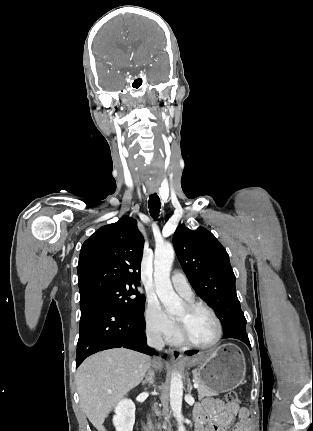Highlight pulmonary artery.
<instances>
[{
    "mask_svg": "<svg viewBox=\"0 0 313 431\" xmlns=\"http://www.w3.org/2000/svg\"><path fill=\"white\" fill-rule=\"evenodd\" d=\"M171 282L174 289L185 299L193 298L192 288L187 281L185 275L181 272H174L171 277Z\"/></svg>",
    "mask_w": 313,
    "mask_h": 431,
    "instance_id": "pulmonary-artery-1",
    "label": "pulmonary artery"
}]
</instances>
